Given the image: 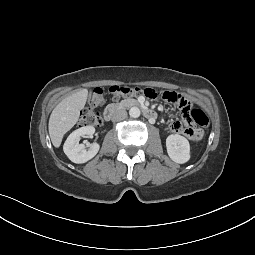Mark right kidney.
Here are the masks:
<instances>
[{
  "mask_svg": "<svg viewBox=\"0 0 255 255\" xmlns=\"http://www.w3.org/2000/svg\"><path fill=\"white\" fill-rule=\"evenodd\" d=\"M95 128L84 126L72 132L64 143L63 150L67 157L74 163L81 164L92 159L99 151V144L93 143L89 149H85L84 144H79L81 137L93 136Z\"/></svg>",
  "mask_w": 255,
  "mask_h": 255,
  "instance_id": "1",
  "label": "right kidney"
}]
</instances>
